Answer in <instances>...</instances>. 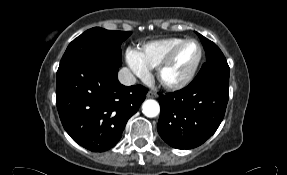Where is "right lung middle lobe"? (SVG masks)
Returning <instances> with one entry per match:
<instances>
[{
    "label": "right lung middle lobe",
    "mask_w": 287,
    "mask_h": 175,
    "mask_svg": "<svg viewBox=\"0 0 287 175\" xmlns=\"http://www.w3.org/2000/svg\"><path fill=\"white\" fill-rule=\"evenodd\" d=\"M130 35L131 32L109 31L99 27L89 29L69 44L59 67L88 58H100L121 65L120 45Z\"/></svg>",
    "instance_id": "dd1d6c3e"
}]
</instances>
